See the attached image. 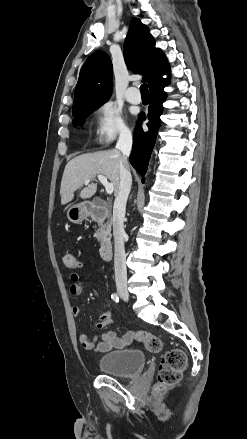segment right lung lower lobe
Returning a JSON list of instances; mask_svg holds the SVG:
<instances>
[{"label":"right lung lower lobe","mask_w":247,"mask_h":439,"mask_svg":"<svg viewBox=\"0 0 247 439\" xmlns=\"http://www.w3.org/2000/svg\"><path fill=\"white\" fill-rule=\"evenodd\" d=\"M164 87L165 85L151 90V100L148 108L149 122L147 123L149 130L143 131L138 122L134 131L130 163L141 176H144L147 171L150 155L155 144L160 124V115L163 110L162 103L166 98V93L163 90ZM140 119V122H142L144 114L140 115ZM142 182H144V179H142Z\"/></svg>","instance_id":"1"}]
</instances>
